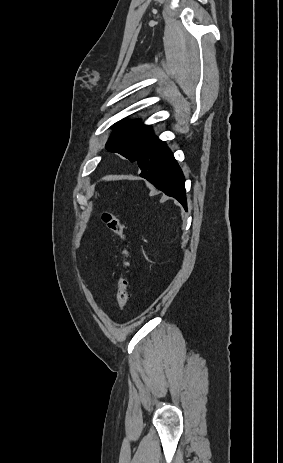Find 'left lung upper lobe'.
<instances>
[{
  "label": "left lung upper lobe",
  "mask_w": 283,
  "mask_h": 463,
  "mask_svg": "<svg viewBox=\"0 0 283 463\" xmlns=\"http://www.w3.org/2000/svg\"><path fill=\"white\" fill-rule=\"evenodd\" d=\"M155 137L151 126L139 121H129L115 127L105 147L108 151L119 153L134 162L146 151Z\"/></svg>",
  "instance_id": "left-lung-upper-lobe-1"
}]
</instances>
